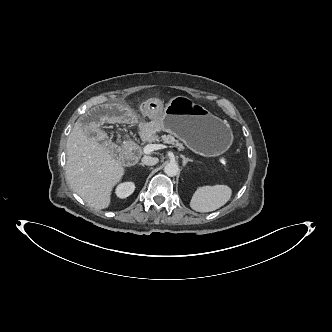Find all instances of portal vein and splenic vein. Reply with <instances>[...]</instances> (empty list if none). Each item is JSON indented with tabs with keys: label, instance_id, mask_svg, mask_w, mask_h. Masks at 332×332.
<instances>
[{
	"label": "portal vein and splenic vein",
	"instance_id": "18ae733b",
	"mask_svg": "<svg viewBox=\"0 0 332 332\" xmlns=\"http://www.w3.org/2000/svg\"><path fill=\"white\" fill-rule=\"evenodd\" d=\"M164 148H166V146L163 144H148L144 147L143 151L145 154H150L154 150H159V149H164Z\"/></svg>",
	"mask_w": 332,
	"mask_h": 332
}]
</instances>
